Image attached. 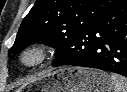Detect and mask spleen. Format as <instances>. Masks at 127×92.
Instances as JSON below:
<instances>
[{
  "label": "spleen",
  "mask_w": 127,
  "mask_h": 92,
  "mask_svg": "<svg viewBox=\"0 0 127 92\" xmlns=\"http://www.w3.org/2000/svg\"><path fill=\"white\" fill-rule=\"evenodd\" d=\"M114 92H127V79L116 74H111Z\"/></svg>",
  "instance_id": "obj_1"
}]
</instances>
